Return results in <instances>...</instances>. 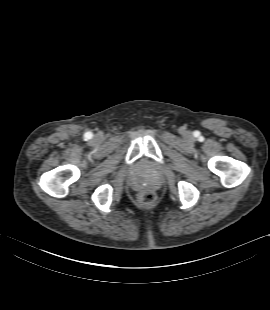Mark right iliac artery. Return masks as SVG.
<instances>
[{
	"instance_id": "right-iliac-artery-1",
	"label": "right iliac artery",
	"mask_w": 270,
	"mask_h": 310,
	"mask_svg": "<svg viewBox=\"0 0 270 310\" xmlns=\"http://www.w3.org/2000/svg\"><path fill=\"white\" fill-rule=\"evenodd\" d=\"M86 137L90 138L91 137V133H87Z\"/></svg>"
}]
</instances>
